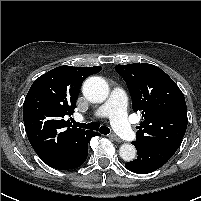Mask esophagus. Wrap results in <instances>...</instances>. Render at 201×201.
I'll return each mask as SVG.
<instances>
[{
	"instance_id": "obj_1",
	"label": "esophagus",
	"mask_w": 201,
	"mask_h": 201,
	"mask_svg": "<svg viewBox=\"0 0 201 201\" xmlns=\"http://www.w3.org/2000/svg\"><path fill=\"white\" fill-rule=\"evenodd\" d=\"M108 137H109L111 140H114V141H116V142H120V141H121V139H120L117 135H115V134H110V135H108Z\"/></svg>"
}]
</instances>
